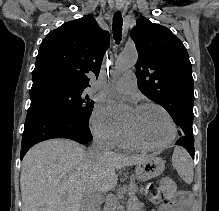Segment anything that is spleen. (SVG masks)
<instances>
[{"instance_id": "spleen-1", "label": "spleen", "mask_w": 219, "mask_h": 211, "mask_svg": "<svg viewBox=\"0 0 219 211\" xmlns=\"http://www.w3.org/2000/svg\"><path fill=\"white\" fill-rule=\"evenodd\" d=\"M172 165L186 183H192L194 175L193 161L184 147H180V145L174 147Z\"/></svg>"}]
</instances>
